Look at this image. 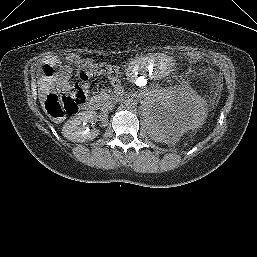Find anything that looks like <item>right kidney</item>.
<instances>
[{"instance_id":"right-kidney-1","label":"right kidney","mask_w":257,"mask_h":257,"mask_svg":"<svg viewBox=\"0 0 257 257\" xmlns=\"http://www.w3.org/2000/svg\"><path fill=\"white\" fill-rule=\"evenodd\" d=\"M94 119L92 111H84L71 117L63 126V136L72 142H87L95 139L99 135L96 128H88L86 122Z\"/></svg>"}]
</instances>
